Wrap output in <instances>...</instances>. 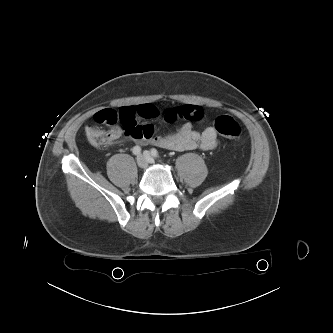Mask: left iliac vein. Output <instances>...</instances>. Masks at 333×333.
Listing matches in <instances>:
<instances>
[{
	"mask_svg": "<svg viewBox=\"0 0 333 333\" xmlns=\"http://www.w3.org/2000/svg\"><path fill=\"white\" fill-rule=\"evenodd\" d=\"M144 155L146 156L148 163H154V158L150 155V152L146 151L144 152Z\"/></svg>",
	"mask_w": 333,
	"mask_h": 333,
	"instance_id": "obj_1",
	"label": "left iliac vein"
}]
</instances>
